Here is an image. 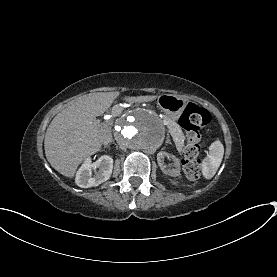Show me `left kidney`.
<instances>
[{"label": "left kidney", "mask_w": 277, "mask_h": 277, "mask_svg": "<svg viewBox=\"0 0 277 277\" xmlns=\"http://www.w3.org/2000/svg\"><path fill=\"white\" fill-rule=\"evenodd\" d=\"M165 157L170 158V159L173 160V162L176 166L174 169L169 170L166 166L163 165ZM157 160H158V165H159V167L161 168V170L163 171L164 174L170 175V176H173V177H176V176L180 175V162L175 156H173V155H171L167 152H159L158 156H157Z\"/></svg>", "instance_id": "left-kidney-1"}]
</instances>
